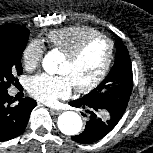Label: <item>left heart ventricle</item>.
<instances>
[{"label": "left heart ventricle", "mask_w": 153, "mask_h": 153, "mask_svg": "<svg viewBox=\"0 0 153 153\" xmlns=\"http://www.w3.org/2000/svg\"><path fill=\"white\" fill-rule=\"evenodd\" d=\"M109 51L107 41L98 39L84 50L74 62L66 58L62 61L59 73L66 75L72 86H85L93 81L101 71Z\"/></svg>", "instance_id": "1"}]
</instances>
